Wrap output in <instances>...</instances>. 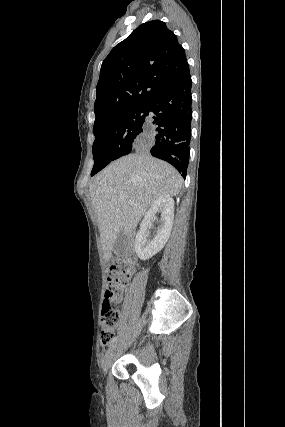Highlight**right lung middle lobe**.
<instances>
[{"label":"right lung middle lobe","mask_w":285,"mask_h":427,"mask_svg":"<svg viewBox=\"0 0 285 427\" xmlns=\"http://www.w3.org/2000/svg\"><path fill=\"white\" fill-rule=\"evenodd\" d=\"M147 115L148 103H143L118 112L93 128L94 166L91 176L111 161L129 154L140 143Z\"/></svg>","instance_id":"1"}]
</instances>
